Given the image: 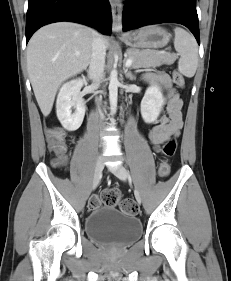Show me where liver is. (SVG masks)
I'll return each instance as SVG.
<instances>
[{
    "mask_svg": "<svg viewBox=\"0 0 231 281\" xmlns=\"http://www.w3.org/2000/svg\"><path fill=\"white\" fill-rule=\"evenodd\" d=\"M94 30L70 22L39 29L27 47L29 79L44 116L52 110L59 86L90 64ZM106 47L107 37H103Z\"/></svg>",
    "mask_w": 231,
    "mask_h": 281,
    "instance_id": "obj_1",
    "label": "liver"
}]
</instances>
